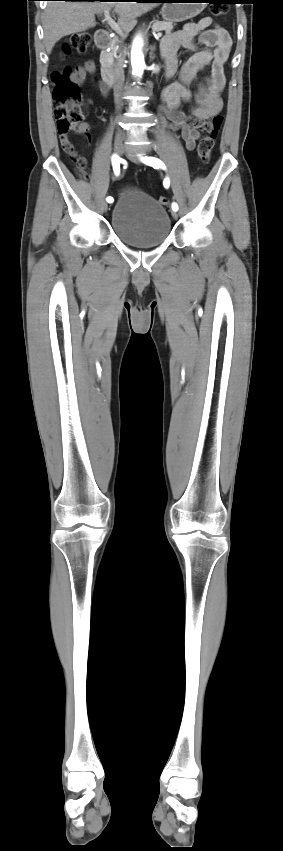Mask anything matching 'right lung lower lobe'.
I'll return each mask as SVG.
<instances>
[{"label": "right lung lower lobe", "instance_id": "obj_1", "mask_svg": "<svg viewBox=\"0 0 283 851\" xmlns=\"http://www.w3.org/2000/svg\"><path fill=\"white\" fill-rule=\"evenodd\" d=\"M68 1H102V0H68ZM128 1L150 2V0H128Z\"/></svg>", "mask_w": 283, "mask_h": 851}]
</instances>
